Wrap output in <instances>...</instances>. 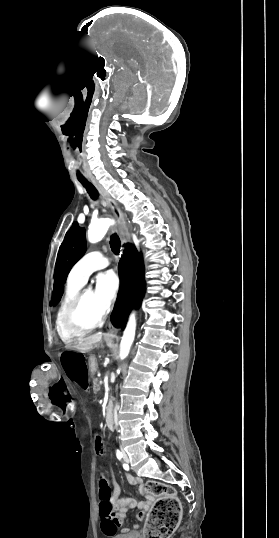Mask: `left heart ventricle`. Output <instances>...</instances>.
Listing matches in <instances>:
<instances>
[{"instance_id":"left-heart-ventricle-1","label":"left heart ventricle","mask_w":279,"mask_h":538,"mask_svg":"<svg viewBox=\"0 0 279 538\" xmlns=\"http://www.w3.org/2000/svg\"><path fill=\"white\" fill-rule=\"evenodd\" d=\"M104 314L98 302L95 290H89L86 294L85 303L79 310L77 318L82 324H89Z\"/></svg>"}]
</instances>
